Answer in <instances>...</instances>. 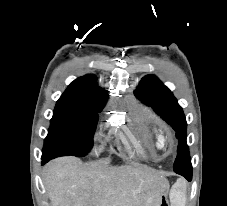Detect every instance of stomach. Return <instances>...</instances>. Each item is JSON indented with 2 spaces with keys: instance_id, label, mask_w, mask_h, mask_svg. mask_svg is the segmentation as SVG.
<instances>
[{
  "instance_id": "stomach-1",
  "label": "stomach",
  "mask_w": 227,
  "mask_h": 206,
  "mask_svg": "<svg viewBox=\"0 0 227 206\" xmlns=\"http://www.w3.org/2000/svg\"><path fill=\"white\" fill-rule=\"evenodd\" d=\"M160 205L159 206H168V202H167V192H162V197H160Z\"/></svg>"
}]
</instances>
